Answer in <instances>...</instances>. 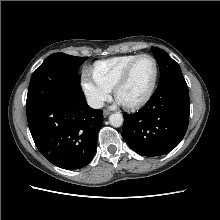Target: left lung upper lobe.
Returning <instances> with one entry per match:
<instances>
[{
    "label": "left lung upper lobe",
    "mask_w": 220,
    "mask_h": 220,
    "mask_svg": "<svg viewBox=\"0 0 220 220\" xmlns=\"http://www.w3.org/2000/svg\"><path fill=\"white\" fill-rule=\"evenodd\" d=\"M156 61L160 67L159 86H162L172 80L184 78L180 66L165 51L152 47L151 48Z\"/></svg>",
    "instance_id": "1"
}]
</instances>
